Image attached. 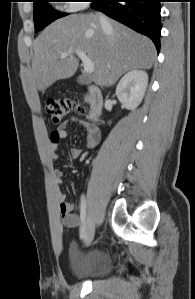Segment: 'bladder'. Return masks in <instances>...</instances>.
<instances>
[{"instance_id": "bladder-1", "label": "bladder", "mask_w": 195, "mask_h": 299, "mask_svg": "<svg viewBox=\"0 0 195 299\" xmlns=\"http://www.w3.org/2000/svg\"><path fill=\"white\" fill-rule=\"evenodd\" d=\"M111 260L103 249H94L80 255L73 248L72 275L76 279L93 280L108 275L111 271Z\"/></svg>"}]
</instances>
